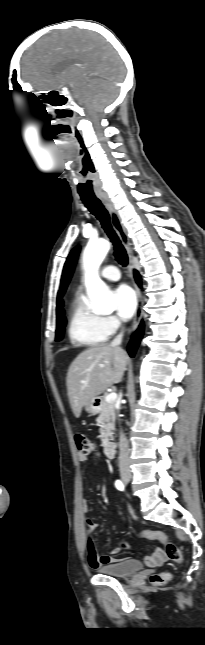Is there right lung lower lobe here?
<instances>
[{"instance_id": "1", "label": "right lung lower lobe", "mask_w": 205, "mask_h": 645, "mask_svg": "<svg viewBox=\"0 0 205 645\" xmlns=\"http://www.w3.org/2000/svg\"><path fill=\"white\" fill-rule=\"evenodd\" d=\"M135 279L137 284L141 287V278L137 271H135ZM143 331H144V323L142 321L137 331L133 334L132 339L128 345V353L131 357H133L136 352V349L140 343V340L142 339Z\"/></svg>"}]
</instances>
